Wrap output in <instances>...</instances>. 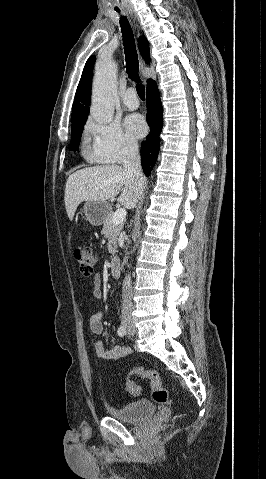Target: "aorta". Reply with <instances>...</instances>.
Listing matches in <instances>:
<instances>
[{
    "mask_svg": "<svg viewBox=\"0 0 266 479\" xmlns=\"http://www.w3.org/2000/svg\"><path fill=\"white\" fill-rule=\"evenodd\" d=\"M117 65L112 60L101 61L95 72L92 89L91 116L97 122L110 123L118 102L116 86Z\"/></svg>",
    "mask_w": 266,
    "mask_h": 479,
    "instance_id": "obj_1",
    "label": "aorta"
}]
</instances>
